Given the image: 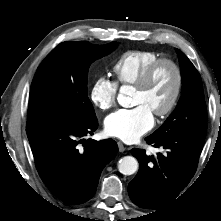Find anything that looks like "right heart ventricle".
Here are the masks:
<instances>
[{"label":"right heart ventricle","mask_w":221,"mask_h":221,"mask_svg":"<svg viewBox=\"0 0 221 221\" xmlns=\"http://www.w3.org/2000/svg\"><path fill=\"white\" fill-rule=\"evenodd\" d=\"M152 51H128L112 65L116 83L120 86L134 85L147 66L159 59Z\"/></svg>","instance_id":"e07e8e85"}]
</instances>
